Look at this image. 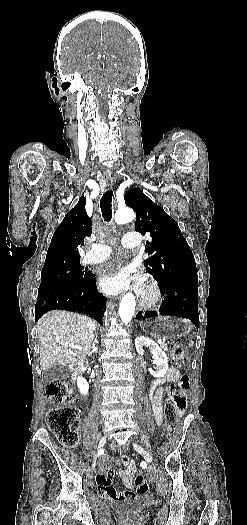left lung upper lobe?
I'll list each match as a JSON object with an SVG mask.
<instances>
[{"instance_id": "1", "label": "left lung upper lobe", "mask_w": 247, "mask_h": 525, "mask_svg": "<svg viewBox=\"0 0 247 525\" xmlns=\"http://www.w3.org/2000/svg\"><path fill=\"white\" fill-rule=\"evenodd\" d=\"M125 203L137 214L135 230L152 238L145 246L146 271L159 285L198 286L193 253L176 221L138 188L127 192Z\"/></svg>"}]
</instances>
